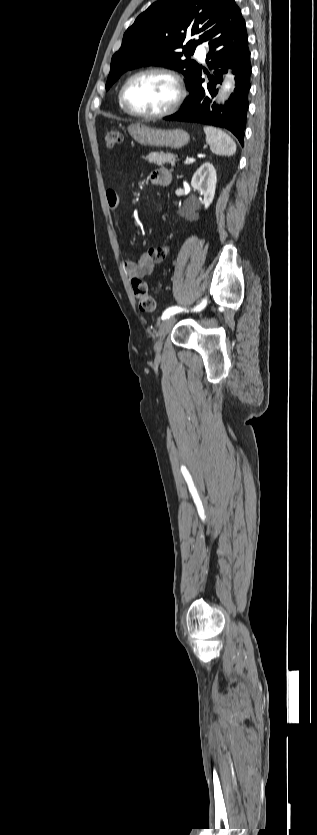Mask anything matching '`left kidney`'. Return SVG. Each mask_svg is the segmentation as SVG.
Here are the masks:
<instances>
[{
	"instance_id": "obj_1",
	"label": "left kidney",
	"mask_w": 317,
	"mask_h": 835,
	"mask_svg": "<svg viewBox=\"0 0 317 835\" xmlns=\"http://www.w3.org/2000/svg\"><path fill=\"white\" fill-rule=\"evenodd\" d=\"M216 183V170L210 162H204L192 177L191 186L203 196L201 203L205 209L211 205L214 199Z\"/></svg>"
}]
</instances>
